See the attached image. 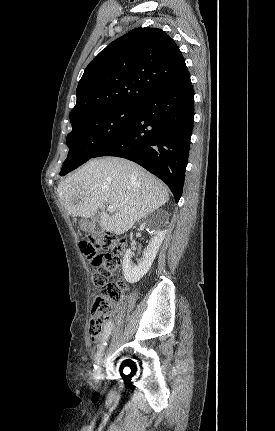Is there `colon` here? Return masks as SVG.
<instances>
[{
	"label": "colon",
	"mask_w": 275,
	"mask_h": 431,
	"mask_svg": "<svg viewBox=\"0 0 275 431\" xmlns=\"http://www.w3.org/2000/svg\"><path fill=\"white\" fill-rule=\"evenodd\" d=\"M80 249L91 262L92 280L101 289L91 308L89 334L92 338L102 335L106 323L114 316L125 285L121 281L111 282L118 270L126 244L110 233L90 235L80 242Z\"/></svg>",
	"instance_id": "1"
}]
</instances>
